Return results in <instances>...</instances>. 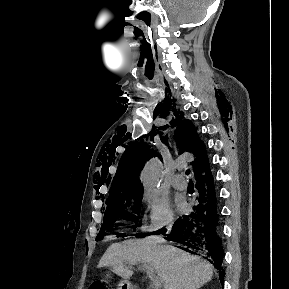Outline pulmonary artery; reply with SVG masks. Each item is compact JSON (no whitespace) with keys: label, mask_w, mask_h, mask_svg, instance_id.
Wrapping results in <instances>:
<instances>
[{"label":"pulmonary artery","mask_w":289,"mask_h":289,"mask_svg":"<svg viewBox=\"0 0 289 289\" xmlns=\"http://www.w3.org/2000/svg\"><path fill=\"white\" fill-rule=\"evenodd\" d=\"M172 185L179 190H183L187 187V181L185 180V178L183 177L182 174L178 173L175 174L171 180Z\"/></svg>","instance_id":"e3ab8cb5"}]
</instances>
